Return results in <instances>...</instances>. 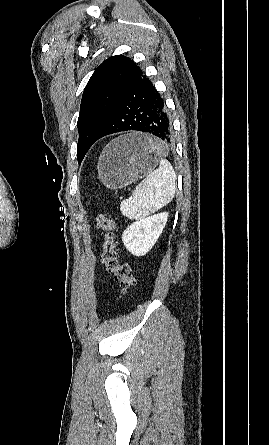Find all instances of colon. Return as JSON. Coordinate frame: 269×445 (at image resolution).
<instances>
[{
	"label": "colon",
	"instance_id": "colon-1",
	"mask_svg": "<svg viewBox=\"0 0 269 445\" xmlns=\"http://www.w3.org/2000/svg\"><path fill=\"white\" fill-rule=\"evenodd\" d=\"M96 225L103 232L101 262L119 284L120 298H123L129 295L136 285V278L133 276L130 266L122 264L119 260L115 220L108 215L99 214L96 217Z\"/></svg>",
	"mask_w": 269,
	"mask_h": 445
}]
</instances>
